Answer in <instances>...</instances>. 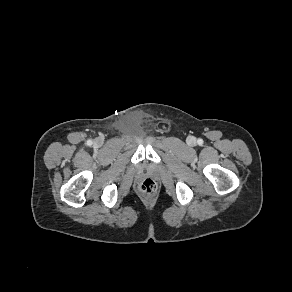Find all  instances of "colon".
<instances>
[{
	"mask_svg": "<svg viewBox=\"0 0 292 292\" xmlns=\"http://www.w3.org/2000/svg\"><path fill=\"white\" fill-rule=\"evenodd\" d=\"M140 189L143 193L150 195L157 190V184L154 180L146 178L145 180L142 181Z\"/></svg>",
	"mask_w": 292,
	"mask_h": 292,
	"instance_id": "1",
	"label": "colon"
}]
</instances>
